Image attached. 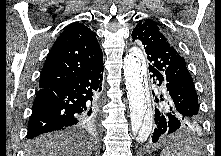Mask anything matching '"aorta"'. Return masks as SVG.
Masks as SVG:
<instances>
[{
	"label": "aorta",
	"mask_w": 221,
	"mask_h": 156,
	"mask_svg": "<svg viewBox=\"0 0 221 156\" xmlns=\"http://www.w3.org/2000/svg\"><path fill=\"white\" fill-rule=\"evenodd\" d=\"M124 77L130 108L132 132L145 142L152 130V109L148 97L146 63L142 51L133 47L124 57Z\"/></svg>",
	"instance_id": "1"
}]
</instances>
